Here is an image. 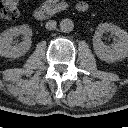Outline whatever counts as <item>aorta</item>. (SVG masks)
Returning a JSON list of instances; mask_svg holds the SVG:
<instances>
[{"label":"aorta","mask_w":128,"mask_h":128,"mask_svg":"<svg viewBox=\"0 0 128 128\" xmlns=\"http://www.w3.org/2000/svg\"><path fill=\"white\" fill-rule=\"evenodd\" d=\"M74 28V23L71 19L65 18L62 19L60 22V30L64 33H69L73 30Z\"/></svg>","instance_id":"obj_1"}]
</instances>
